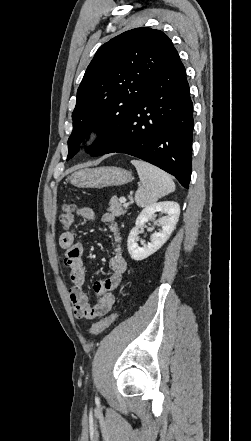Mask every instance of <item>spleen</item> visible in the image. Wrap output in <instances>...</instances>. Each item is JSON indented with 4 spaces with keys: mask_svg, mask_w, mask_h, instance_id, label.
Instances as JSON below:
<instances>
[{
    "mask_svg": "<svg viewBox=\"0 0 251 441\" xmlns=\"http://www.w3.org/2000/svg\"><path fill=\"white\" fill-rule=\"evenodd\" d=\"M141 186L135 193V202L139 207L155 203L160 198L175 190L172 178L163 170L145 161L133 159Z\"/></svg>",
    "mask_w": 251,
    "mask_h": 441,
    "instance_id": "3e777b00",
    "label": "spleen"
}]
</instances>
